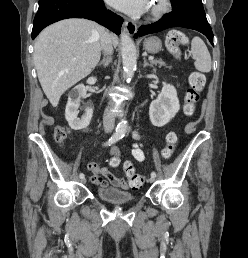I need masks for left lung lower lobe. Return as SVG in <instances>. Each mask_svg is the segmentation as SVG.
Returning a JSON list of instances; mask_svg holds the SVG:
<instances>
[{"label": "left lung lower lobe", "instance_id": "obj_1", "mask_svg": "<svg viewBox=\"0 0 248 258\" xmlns=\"http://www.w3.org/2000/svg\"><path fill=\"white\" fill-rule=\"evenodd\" d=\"M171 27H184L203 33L213 45V33L207 21L202 4H189L174 7L173 11L163 16L159 21L141 26L135 38L150 33L160 32ZM214 46V45H213Z\"/></svg>", "mask_w": 248, "mask_h": 258}]
</instances>
